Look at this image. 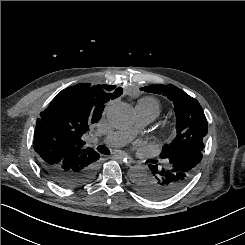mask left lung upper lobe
Wrapping results in <instances>:
<instances>
[{"label":"left lung upper lobe","instance_id":"obj_1","mask_svg":"<svg viewBox=\"0 0 245 245\" xmlns=\"http://www.w3.org/2000/svg\"><path fill=\"white\" fill-rule=\"evenodd\" d=\"M141 90L163 94L175 105L177 135L169 145L163 146L161 159H168L185 150H203V139L207 134L208 126L203 109L196 99L172 84L150 85Z\"/></svg>","mask_w":245,"mask_h":245}]
</instances>
